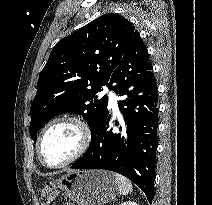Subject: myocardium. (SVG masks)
I'll use <instances>...</instances> for the list:
<instances>
[{"instance_id": "1", "label": "myocardium", "mask_w": 212, "mask_h": 205, "mask_svg": "<svg viewBox=\"0 0 212 205\" xmlns=\"http://www.w3.org/2000/svg\"><path fill=\"white\" fill-rule=\"evenodd\" d=\"M60 123H69L74 125L80 136V142L77 150L66 160L57 163V164H49L45 161L43 154H42V144L43 140L45 138V135L47 132L55 125L60 124ZM92 141V131L91 127L88 124V122L83 119L80 116L77 115H61L58 117H55L51 121H49L41 130L39 137H38V142H37V153H38V158L41 161V163L49 168H61L65 167L72 162L76 161L79 159L81 156L85 154V152L88 150L90 144Z\"/></svg>"}]
</instances>
